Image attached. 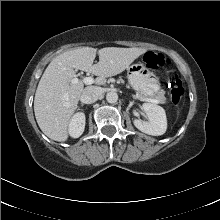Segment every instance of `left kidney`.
I'll list each match as a JSON object with an SVG mask.
<instances>
[{"label":"left kidney","mask_w":220,"mask_h":220,"mask_svg":"<svg viewBox=\"0 0 220 220\" xmlns=\"http://www.w3.org/2000/svg\"><path fill=\"white\" fill-rule=\"evenodd\" d=\"M142 109L146 113L148 121L134 119L135 127L148 135H163L167 129L165 110L161 106L152 103H144Z\"/></svg>","instance_id":"1"}]
</instances>
